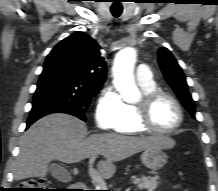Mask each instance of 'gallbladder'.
<instances>
[{
  "label": "gallbladder",
  "mask_w": 218,
  "mask_h": 191,
  "mask_svg": "<svg viewBox=\"0 0 218 191\" xmlns=\"http://www.w3.org/2000/svg\"><path fill=\"white\" fill-rule=\"evenodd\" d=\"M49 171L58 180H63V176L68 175L67 171L58 164H51Z\"/></svg>",
  "instance_id": "bac80fb5"
}]
</instances>
